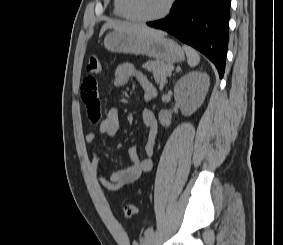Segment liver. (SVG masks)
Listing matches in <instances>:
<instances>
[{
  "mask_svg": "<svg viewBox=\"0 0 283 245\" xmlns=\"http://www.w3.org/2000/svg\"><path fill=\"white\" fill-rule=\"evenodd\" d=\"M107 29H114L115 31L128 32V33L150 34V35H158V36L162 35L160 31H156L144 25H138V24L122 22V21H108L101 28L99 35L102 36Z\"/></svg>",
  "mask_w": 283,
  "mask_h": 245,
  "instance_id": "obj_1",
  "label": "liver"
}]
</instances>
